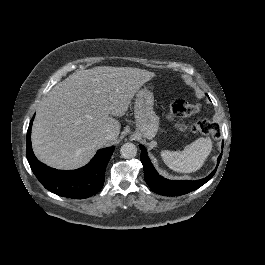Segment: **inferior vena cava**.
Listing matches in <instances>:
<instances>
[{
  "label": "inferior vena cava",
  "mask_w": 265,
  "mask_h": 265,
  "mask_svg": "<svg viewBox=\"0 0 265 265\" xmlns=\"http://www.w3.org/2000/svg\"><path fill=\"white\" fill-rule=\"evenodd\" d=\"M104 137L106 140L110 141L114 138V132L111 129H107L104 133Z\"/></svg>",
  "instance_id": "602c4592"
}]
</instances>
